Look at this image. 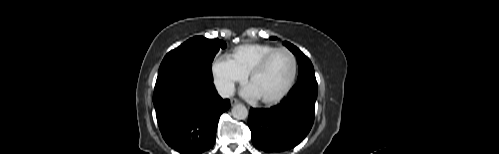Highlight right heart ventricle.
<instances>
[{
    "label": "right heart ventricle",
    "mask_w": 499,
    "mask_h": 154,
    "mask_svg": "<svg viewBox=\"0 0 499 154\" xmlns=\"http://www.w3.org/2000/svg\"><path fill=\"white\" fill-rule=\"evenodd\" d=\"M276 48L269 44H244L233 49L228 57L241 71L248 74L255 64Z\"/></svg>",
    "instance_id": "e07e8e85"
}]
</instances>
